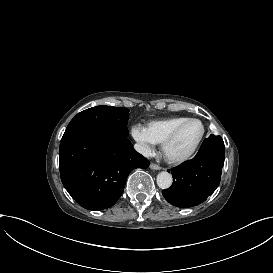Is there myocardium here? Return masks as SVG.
Returning a JSON list of instances; mask_svg holds the SVG:
<instances>
[{"label":"myocardium","mask_w":273,"mask_h":273,"mask_svg":"<svg viewBox=\"0 0 273 273\" xmlns=\"http://www.w3.org/2000/svg\"><path fill=\"white\" fill-rule=\"evenodd\" d=\"M191 121H199L202 123L203 125V133L201 135V137L199 138V140L196 142V144L194 145V147L185 155L182 156H173L169 153V148L172 145V143L175 141V139L177 138L178 134L180 133V131L182 130V128L189 122ZM207 131H208V126L207 123L198 117H189L188 119H186L185 121H182L181 123H179L177 126H175L172 131L168 134V136L163 140L161 148H162V152L164 155V158L172 164H184L188 161H190L197 153V151L199 150L201 144L203 143L206 135H207Z\"/></svg>","instance_id":"1"}]
</instances>
